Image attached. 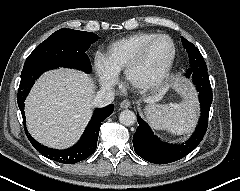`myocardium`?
I'll list each match as a JSON object with an SVG mask.
<instances>
[{
  "mask_svg": "<svg viewBox=\"0 0 240 191\" xmlns=\"http://www.w3.org/2000/svg\"><path fill=\"white\" fill-rule=\"evenodd\" d=\"M161 39L168 40L171 43V46H172V54H171V57H170V60H169L168 64L166 65V67L163 70V72L157 78H155L154 80L148 81V82L137 81L135 79L136 72L139 70V68L145 62V60L147 58V55H148L150 49L152 48V46L157 41H159ZM176 56H177V47H176V44H175L174 40L170 36H168L166 34H158L154 38L149 40L143 46V48L141 49V51L139 52L137 57L126 68V70H125V79H126L127 83L131 87H133L134 89H137L139 91H150V90L157 89L168 78V76H169V74H170V72H171V70L173 68V65L175 63Z\"/></svg>",
  "mask_w": 240,
  "mask_h": 191,
  "instance_id": "myocardium-1",
  "label": "myocardium"
}]
</instances>
